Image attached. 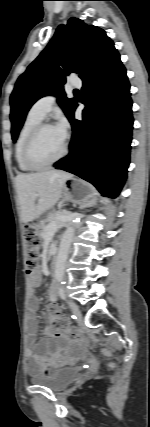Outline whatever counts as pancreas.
I'll use <instances>...</instances> for the list:
<instances>
[{
    "label": "pancreas",
    "mask_w": 150,
    "mask_h": 427,
    "mask_svg": "<svg viewBox=\"0 0 150 427\" xmlns=\"http://www.w3.org/2000/svg\"><path fill=\"white\" fill-rule=\"evenodd\" d=\"M68 220H70V218L68 217V212L66 211H58L50 214L46 219V222H48L49 225H42L41 228L43 231L40 234L44 235L48 228H51L53 231H57L59 228L65 226V222Z\"/></svg>",
    "instance_id": "pancreas-1"
}]
</instances>
